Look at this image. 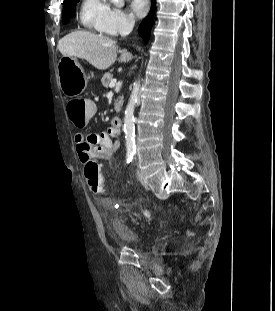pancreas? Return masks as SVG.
Here are the masks:
<instances>
[{
	"label": "pancreas",
	"mask_w": 275,
	"mask_h": 311,
	"mask_svg": "<svg viewBox=\"0 0 275 311\" xmlns=\"http://www.w3.org/2000/svg\"><path fill=\"white\" fill-rule=\"evenodd\" d=\"M113 79V75L111 74V73H105L104 74V76L102 77V79H101V82H102V85L105 87V88H108V86H109V84H110V82H111V80ZM115 106H116V108L115 109H119L120 108V106H121V101H119V100H116L115 101Z\"/></svg>",
	"instance_id": "1"
}]
</instances>
